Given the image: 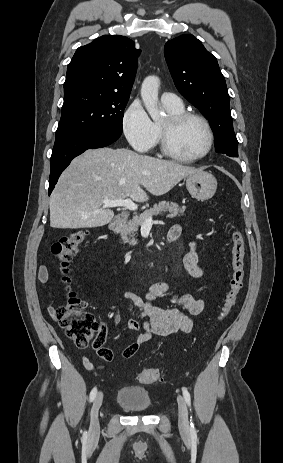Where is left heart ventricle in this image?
I'll return each mask as SVG.
<instances>
[{
  "label": "left heart ventricle",
  "mask_w": 283,
  "mask_h": 463,
  "mask_svg": "<svg viewBox=\"0 0 283 463\" xmlns=\"http://www.w3.org/2000/svg\"><path fill=\"white\" fill-rule=\"evenodd\" d=\"M207 141L206 129L204 125L196 119L187 120L176 128L170 136L172 148L178 154L186 157H193L201 154L207 146Z\"/></svg>",
  "instance_id": "left-heart-ventricle-1"
}]
</instances>
